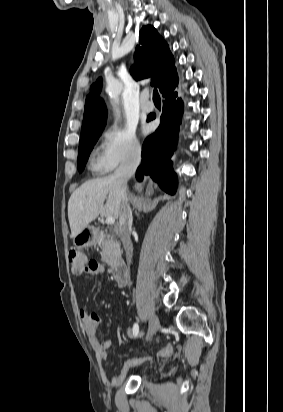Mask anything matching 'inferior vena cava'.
Listing matches in <instances>:
<instances>
[{
	"label": "inferior vena cava",
	"mask_w": 283,
	"mask_h": 412,
	"mask_svg": "<svg viewBox=\"0 0 283 412\" xmlns=\"http://www.w3.org/2000/svg\"><path fill=\"white\" fill-rule=\"evenodd\" d=\"M141 158L140 147L132 148L126 156L123 158L120 166L115 170L114 177L118 178L122 184V203L119 213V236L123 243V247L126 253V259L128 263H131L133 256V245L130 239V233L132 230V210L128 203V197L126 194L127 181L136 171Z\"/></svg>",
	"instance_id": "inferior-vena-cava-1"
}]
</instances>
